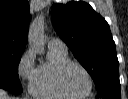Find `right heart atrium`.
<instances>
[{"label": "right heart atrium", "instance_id": "right-heart-atrium-1", "mask_svg": "<svg viewBox=\"0 0 128 99\" xmlns=\"http://www.w3.org/2000/svg\"><path fill=\"white\" fill-rule=\"evenodd\" d=\"M34 61L35 54L31 49L27 50L20 58L17 70L22 83L31 84L35 72Z\"/></svg>", "mask_w": 128, "mask_h": 99}]
</instances>
